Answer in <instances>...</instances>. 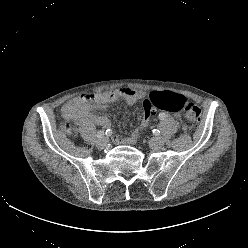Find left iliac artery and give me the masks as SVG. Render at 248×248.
<instances>
[{"instance_id":"obj_1","label":"left iliac artery","mask_w":248,"mask_h":248,"mask_svg":"<svg viewBox=\"0 0 248 248\" xmlns=\"http://www.w3.org/2000/svg\"><path fill=\"white\" fill-rule=\"evenodd\" d=\"M165 114L164 113H161L159 116L160 117H163ZM153 132L155 133V135H157V134H159L160 133V131L159 130H153Z\"/></svg>"}]
</instances>
